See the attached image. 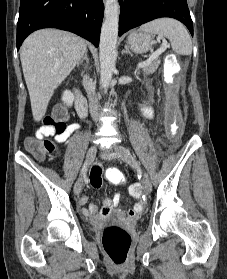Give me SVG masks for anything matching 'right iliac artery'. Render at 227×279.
Returning a JSON list of instances; mask_svg holds the SVG:
<instances>
[{
  "instance_id": "82829eb1",
  "label": "right iliac artery",
  "mask_w": 227,
  "mask_h": 279,
  "mask_svg": "<svg viewBox=\"0 0 227 279\" xmlns=\"http://www.w3.org/2000/svg\"><path fill=\"white\" fill-rule=\"evenodd\" d=\"M84 172H86V168L85 167H83V169H82V173H84Z\"/></svg>"
}]
</instances>
